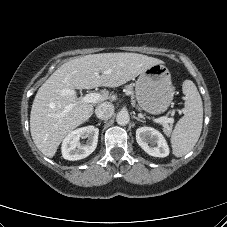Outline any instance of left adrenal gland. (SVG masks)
Instances as JSON below:
<instances>
[{
    "mask_svg": "<svg viewBox=\"0 0 227 227\" xmlns=\"http://www.w3.org/2000/svg\"><path fill=\"white\" fill-rule=\"evenodd\" d=\"M133 118L136 119L137 121H140V122H142V123H145L144 120H142L141 118H139V117H137V116H133Z\"/></svg>",
    "mask_w": 227,
    "mask_h": 227,
    "instance_id": "obj_1",
    "label": "left adrenal gland"
}]
</instances>
